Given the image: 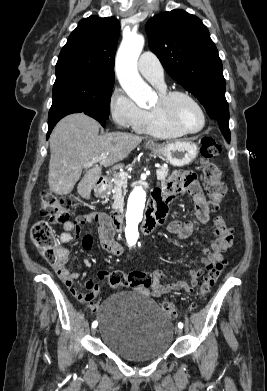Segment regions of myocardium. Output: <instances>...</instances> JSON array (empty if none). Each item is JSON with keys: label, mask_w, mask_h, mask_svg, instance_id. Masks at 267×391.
<instances>
[{"label": "myocardium", "mask_w": 267, "mask_h": 391, "mask_svg": "<svg viewBox=\"0 0 267 391\" xmlns=\"http://www.w3.org/2000/svg\"><path fill=\"white\" fill-rule=\"evenodd\" d=\"M176 98H184L191 102L200 112L202 117V124L199 129L197 130H187L183 128L176 120L173 118L170 110L171 103ZM156 113L158 116L167 124H169L174 129L180 131L183 134H197L204 130L207 124V117L206 113L202 107V105L189 93L184 91H166L164 93L160 94L159 102L154 107Z\"/></svg>", "instance_id": "obj_1"}]
</instances>
